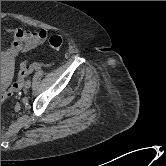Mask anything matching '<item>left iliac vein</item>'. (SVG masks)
Listing matches in <instances>:
<instances>
[{
  "instance_id": "left-iliac-vein-1",
  "label": "left iliac vein",
  "mask_w": 166,
  "mask_h": 166,
  "mask_svg": "<svg viewBox=\"0 0 166 166\" xmlns=\"http://www.w3.org/2000/svg\"><path fill=\"white\" fill-rule=\"evenodd\" d=\"M25 88H30L31 87V81L30 80H27L26 82H25Z\"/></svg>"
}]
</instances>
